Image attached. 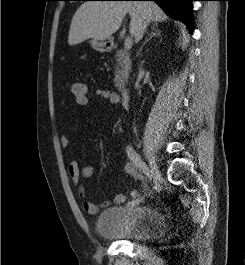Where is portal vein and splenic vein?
Listing matches in <instances>:
<instances>
[{
  "label": "portal vein and splenic vein",
  "mask_w": 245,
  "mask_h": 265,
  "mask_svg": "<svg viewBox=\"0 0 245 265\" xmlns=\"http://www.w3.org/2000/svg\"><path fill=\"white\" fill-rule=\"evenodd\" d=\"M132 44H133V39L131 37L126 38L125 42H124V48L126 50H130L132 48Z\"/></svg>",
  "instance_id": "obj_1"
}]
</instances>
